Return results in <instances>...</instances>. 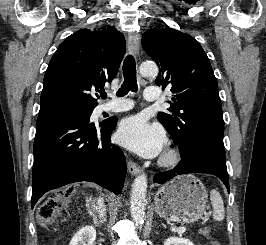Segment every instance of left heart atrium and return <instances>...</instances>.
Segmentation results:
<instances>
[{
    "label": "left heart atrium",
    "mask_w": 266,
    "mask_h": 245,
    "mask_svg": "<svg viewBox=\"0 0 266 245\" xmlns=\"http://www.w3.org/2000/svg\"><path fill=\"white\" fill-rule=\"evenodd\" d=\"M117 135L123 145L145 157L158 155L165 144L161 128L140 116L124 119Z\"/></svg>",
    "instance_id": "1"
}]
</instances>
